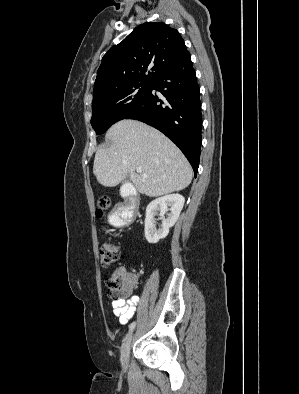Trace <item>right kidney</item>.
<instances>
[{"mask_svg":"<svg viewBox=\"0 0 299 394\" xmlns=\"http://www.w3.org/2000/svg\"><path fill=\"white\" fill-rule=\"evenodd\" d=\"M184 203L185 199L180 194L165 195L149 203L146 208L145 218V238L149 243L156 244L159 240L168 235L169 229L179 218ZM168 211H170V213L165 219L164 214ZM158 212H160V216L163 217V222L162 228L156 230L154 217Z\"/></svg>","mask_w":299,"mask_h":394,"instance_id":"right-kidney-1","label":"right kidney"}]
</instances>
